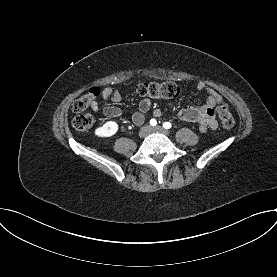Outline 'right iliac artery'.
Masks as SVG:
<instances>
[{"instance_id":"1","label":"right iliac artery","mask_w":277,"mask_h":277,"mask_svg":"<svg viewBox=\"0 0 277 277\" xmlns=\"http://www.w3.org/2000/svg\"><path fill=\"white\" fill-rule=\"evenodd\" d=\"M150 124H151L152 126H155V125L157 124V122H156L155 119H151V120H150Z\"/></svg>"}]
</instances>
